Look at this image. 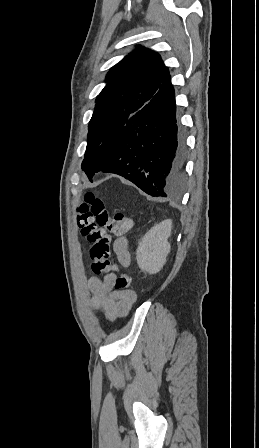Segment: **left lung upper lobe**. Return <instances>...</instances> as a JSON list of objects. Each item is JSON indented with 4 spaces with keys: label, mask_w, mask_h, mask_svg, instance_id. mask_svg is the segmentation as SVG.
<instances>
[{
    "label": "left lung upper lobe",
    "mask_w": 259,
    "mask_h": 448,
    "mask_svg": "<svg viewBox=\"0 0 259 448\" xmlns=\"http://www.w3.org/2000/svg\"><path fill=\"white\" fill-rule=\"evenodd\" d=\"M137 47L110 69L107 84L96 98L81 165L85 173L90 172L91 161L121 130L129 115L146 105L169 75L157 52Z\"/></svg>",
    "instance_id": "obj_1"
}]
</instances>
